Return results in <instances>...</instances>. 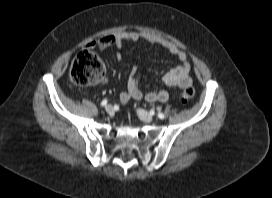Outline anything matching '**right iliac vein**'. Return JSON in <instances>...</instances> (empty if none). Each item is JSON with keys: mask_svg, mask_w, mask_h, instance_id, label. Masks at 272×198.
Masks as SVG:
<instances>
[{"mask_svg": "<svg viewBox=\"0 0 272 198\" xmlns=\"http://www.w3.org/2000/svg\"><path fill=\"white\" fill-rule=\"evenodd\" d=\"M113 106L112 105H107L106 107H105V111L108 113V114H111L112 112H113Z\"/></svg>", "mask_w": 272, "mask_h": 198, "instance_id": "63e3f726", "label": "right iliac vein"}]
</instances>
